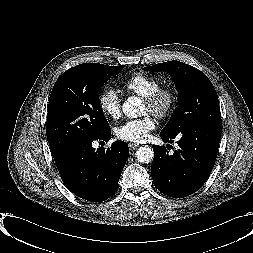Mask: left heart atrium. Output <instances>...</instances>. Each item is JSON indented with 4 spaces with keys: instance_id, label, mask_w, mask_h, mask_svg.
<instances>
[{
    "instance_id": "1",
    "label": "left heart atrium",
    "mask_w": 253,
    "mask_h": 253,
    "mask_svg": "<svg viewBox=\"0 0 253 253\" xmlns=\"http://www.w3.org/2000/svg\"><path fill=\"white\" fill-rule=\"evenodd\" d=\"M156 128L155 119L151 115H145L140 119H130L116 129L118 138L134 143L144 142L149 133Z\"/></svg>"
}]
</instances>
